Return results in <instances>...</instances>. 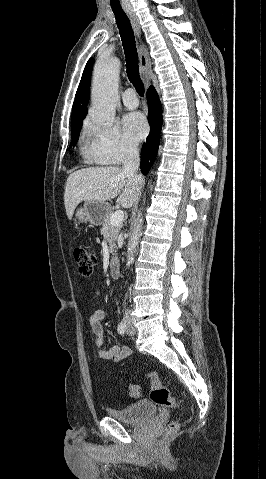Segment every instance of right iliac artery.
<instances>
[{
    "instance_id": "right-iliac-artery-1",
    "label": "right iliac artery",
    "mask_w": 266,
    "mask_h": 479,
    "mask_svg": "<svg viewBox=\"0 0 266 479\" xmlns=\"http://www.w3.org/2000/svg\"><path fill=\"white\" fill-rule=\"evenodd\" d=\"M126 329H127L126 320L123 319V320L119 323L118 328H117V331H118L119 334L124 335L125 332H126Z\"/></svg>"
}]
</instances>
